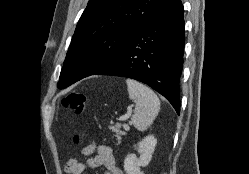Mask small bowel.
Wrapping results in <instances>:
<instances>
[{
  "label": "small bowel",
  "mask_w": 249,
  "mask_h": 174,
  "mask_svg": "<svg viewBox=\"0 0 249 174\" xmlns=\"http://www.w3.org/2000/svg\"><path fill=\"white\" fill-rule=\"evenodd\" d=\"M81 154L87 159L68 160L65 166L66 174H83L87 168L96 169L101 166L105 168L104 174H124L116 165L113 151L109 146L91 143L81 150Z\"/></svg>",
  "instance_id": "obj_1"
}]
</instances>
